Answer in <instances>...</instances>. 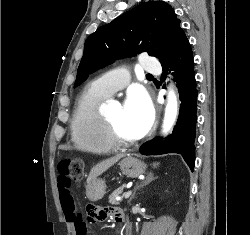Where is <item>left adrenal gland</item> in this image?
<instances>
[{
  "mask_svg": "<svg viewBox=\"0 0 250 235\" xmlns=\"http://www.w3.org/2000/svg\"><path fill=\"white\" fill-rule=\"evenodd\" d=\"M157 177H154V175L152 173H149L147 176H146V179L139 185L137 186V188L135 189L133 195L130 197L129 199V202H131V200L135 197V194H136V191L139 189V188H142L143 186H146L147 184H149L152 180L156 179Z\"/></svg>",
  "mask_w": 250,
  "mask_h": 235,
  "instance_id": "1",
  "label": "left adrenal gland"
}]
</instances>
